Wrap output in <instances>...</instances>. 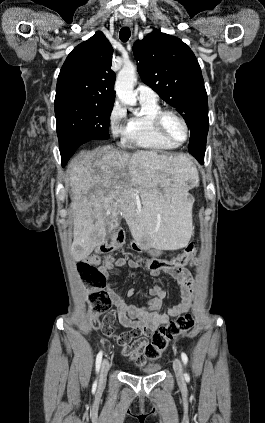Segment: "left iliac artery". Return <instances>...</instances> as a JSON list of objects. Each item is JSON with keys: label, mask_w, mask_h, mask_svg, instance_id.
<instances>
[{"label": "left iliac artery", "mask_w": 265, "mask_h": 423, "mask_svg": "<svg viewBox=\"0 0 265 423\" xmlns=\"http://www.w3.org/2000/svg\"><path fill=\"white\" fill-rule=\"evenodd\" d=\"M181 359H182L184 365H186L187 362H188V357L184 352L181 353ZM188 377H189V375L187 373H185V378H188Z\"/></svg>", "instance_id": "44dca946"}]
</instances>
